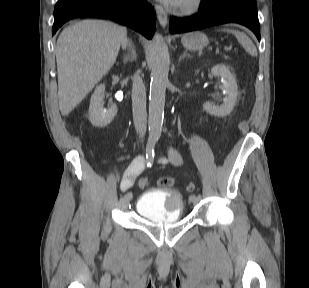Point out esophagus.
I'll return each instance as SVG.
<instances>
[{
	"instance_id": "1",
	"label": "esophagus",
	"mask_w": 309,
	"mask_h": 288,
	"mask_svg": "<svg viewBox=\"0 0 309 288\" xmlns=\"http://www.w3.org/2000/svg\"><path fill=\"white\" fill-rule=\"evenodd\" d=\"M155 11L157 14L158 21L162 27H166L168 23V16L165 10L160 5H155Z\"/></svg>"
}]
</instances>
